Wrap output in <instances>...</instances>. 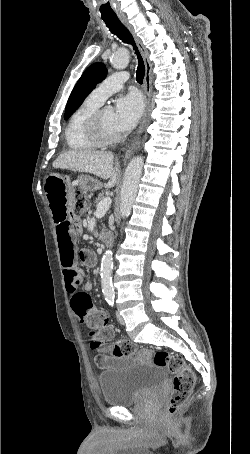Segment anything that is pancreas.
I'll return each mask as SVG.
<instances>
[{"instance_id": "pancreas-1", "label": "pancreas", "mask_w": 250, "mask_h": 454, "mask_svg": "<svg viewBox=\"0 0 250 454\" xmlns=\"http://www.w3.org/2000/svg\"><path fill=\"white\" fill-rule=\"evenodd\" d=\"M102 199H104V193H100V194L98 195V198L96 199L95 203L98 204Z\"/></svg>"}]
</instances>
